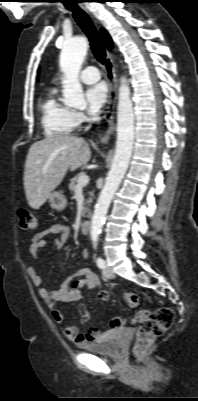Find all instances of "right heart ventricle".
<instances>
[{
	"instance_id": "1",
	"label": "right heart ventricle",
	"mask_w": 198,
	"mask_h": 401,
	"mask_svg": "<svg viewBox=\"0 0 198 401\" xmlns=\"http://www.w3.org/2000/svg\"><path fill=\"white\" fill-rule=\"evenodd\" d=\"M40 111L42 127L49 137L70 135L77 126L74 111L59 101L55 88L46 93Z\"/></svg>"
}]
</instances>
